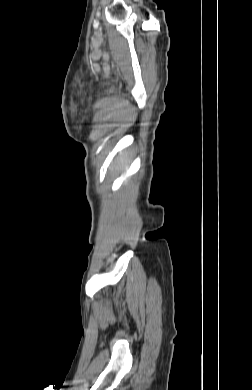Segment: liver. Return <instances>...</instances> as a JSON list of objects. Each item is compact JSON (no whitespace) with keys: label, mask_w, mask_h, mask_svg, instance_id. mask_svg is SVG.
Returning <instances> with one entry per match:
<instances>
[{"label":"liver","mask_w":252,"mask_h":390,"mask_svg":"<svg viewBox=\"0 0 252 390\" xmlns=\"http://www.w3.org/2000/svg\"><path fill=\"white\" fill-rule=\"evenodd\" d=\"M128 163H129V156H128V153L125 151V152H122L117 157V159L114 162V165L116 164L117 170L123 171L126 169Z\"/></svg>","instance_id":"obj_1"}]
</instances>
